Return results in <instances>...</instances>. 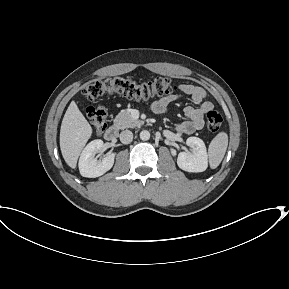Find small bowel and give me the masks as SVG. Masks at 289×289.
<instances>
[{
  "label": "small bowel",
  "instance_id": "1",
  "mask_svg": "<svg viewBox=\"0 0 289 289\" xmlns=\"http://www.w3.org/2000/svg\"><path fill=\"white\" fill-rule=\"evenodd\" d=\"M178 90L190 96L194 105L185 107L184 114L187 120L179 123L176 130L180 133L192 134L203 127L204 116L213 109V104L205 100L206 93L199 86L180 84ZM177 100L178 96L173 94L163 96L152 104V110L157 114H164L170 104Z\"/></svg>",
  "mask_w": 289,
  "mask_h": 289
}]
</instances>
